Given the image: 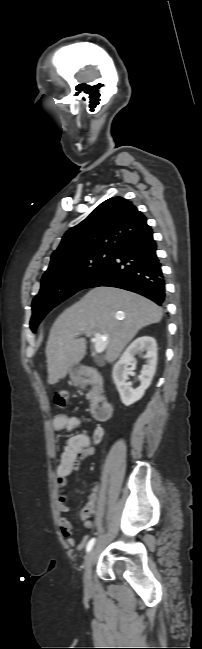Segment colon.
Here are the masks:
<instances>
[{
  "label": "colon",
  "instance_id": "obj_1",
  "mask_svg": "<svg viewBox=\"0 0 202 649\" xmlns=\"http://www.w3.org/2000/svg\"><path fill=\"white\" fill-rule=\"evenodd\" d=\"M68 393L64 390L58 391L54 395L55 404L59 407H65L67 404Z\"/></svg>",
  "mask_w": 202,
  "mask_h": 649
}]
</instances>
